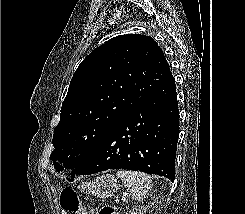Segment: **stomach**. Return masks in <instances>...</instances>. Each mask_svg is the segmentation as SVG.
I'll return each instance as SVG.
<instances>
[{
	"label": "stomach",
	"mask_w": 245,
	"mask_h": 214,
	"mask_svg": "<svg viewBox=\"0 0 245 214\" xmlns=\"http://www.w3.org/2000/svg\"><path fill=\"white\" fill-rule=\"evenodd\" d=\"M119 188L120 184L118 180L111 174L101 175L92 182L82 183L78 186L81 192L92 194L100 198L113 196Z\"/></svg>",
	"instance_id": "1"
}]
</instances>
